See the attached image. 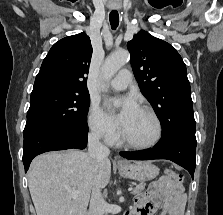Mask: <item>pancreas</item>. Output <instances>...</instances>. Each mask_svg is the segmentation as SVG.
I'll list each match as a JSON object with an SVG mask.
<instances>
[{
  "mask_svg": "<svg viewBox=\"0 0 223 215\" xmlns=\"http://www.w3.org/2000/svg\"><path fill=\"white\" fill-rule=\"evenodd\" d=\"M146 183H141L139 185H136L135 189H133L132 193H140L142 189H145Z\"/></svg>",
  "mask_w": 223,
  "mask_h": 215,
  "instance_id": "pancreas-1",
  "label": "pancreas"
}]
</instances>
